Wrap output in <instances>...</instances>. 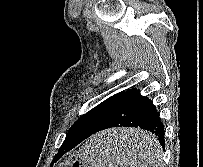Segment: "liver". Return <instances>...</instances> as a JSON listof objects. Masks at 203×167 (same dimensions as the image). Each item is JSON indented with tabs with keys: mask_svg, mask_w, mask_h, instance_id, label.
<instances>
[{
	"mask_svg": "<svg viewBox=\"0 0 203 167\" xmlns=\"http://www.w3.org/2000/svg\"><path fill=\"white\" fill-rule=\"evenodd\" d=\"M144 133L146 132L138 129H114L101 135H109L113 139L114 153L119 160L126 162V167H139L143 164L139 163V152L135 149V145Z\"/></svg>",
	"mask_w": 203,
	"mask_h": 167,
	"instance_id": "6515ba94",
	"label": "liver"
}]
</instances>
